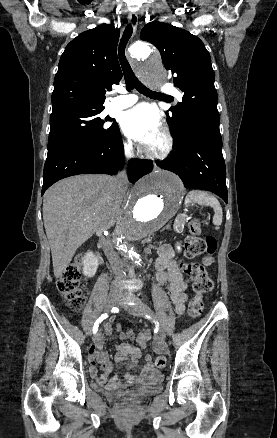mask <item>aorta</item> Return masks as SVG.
Returning a JSON list of instances; mask_svg holds the SVG:
<instances>
[{
    "instance_id": "aorta-1",
    "label": "aorta",
    "mask_w": 277,
    "mask_h": 438,
    "mask_svg": "<svg viewBox=\"0 0 277 438\" xmlns=\"http://www.w3.org/2000/svg\"><path fill=\"white\" fill-rule=\"evenodd\" d=\"M129 52L131 56L144 62L139 68V75L144 82L154 85L166 79L167 72L160 57L145 43L133 44ZM182 192V182L168 171L157 170L140 179L133 187L117 221L113 233L116 249L138 260L136 244L157 231L176 214L181 204Z\"/></svg>"
}]
</instances>
